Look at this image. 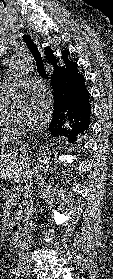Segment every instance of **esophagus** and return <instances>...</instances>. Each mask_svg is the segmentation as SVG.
<instances>
[{"mask_svg":"<svg viewBox=\"0 0 113 279\" xmlns=\"http://www.w3.org/2000/svg\"><path fill=\"white\" fill-rule=\"evenodd\" d=\"M32 38L34 39L35 43L37 44L38 48L40 49V41H39L38 37L35 36L34 34H32ZM40 51L43 54L42 49H40Z\"/></svg>","mask_w":113,"mask_h":279,"instance_id":"34e87169","label":"esophagus"}]
</instances>
